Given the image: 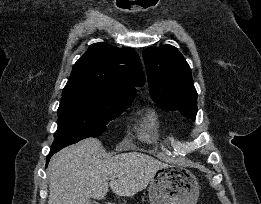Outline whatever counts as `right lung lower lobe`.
I'll list each match as a JSON object with an SVG mask.
<instances>
[{"mask_svg": "<svg viewBox=\"0 0 261 204\" xmlns=\"http://www.w3.org/2000/svg\"><path fill=\"white\" fill-rule=\"evenodd\" d=\"M57 151H59L58 149H50V153L48 154V156H47V164H48V162H49V159H50V157L54 154V153H56Z\"/></svg>", "mask_w": 261, "mask_h": 204, "instance_id": "obj_1", "label": "right lung lower lobe"}]
</instances>
